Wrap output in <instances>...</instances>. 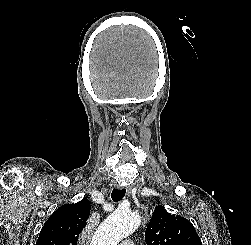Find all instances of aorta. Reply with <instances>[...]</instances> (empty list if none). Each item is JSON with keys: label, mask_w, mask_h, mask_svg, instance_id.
I'll use <instances>...</instances> for the list:
<instances>
[{"label": "aorta", "mask_w": 251, "mask_h": 245, "mask_svg": "<svg viewBox=\"0 0 251 245\" xmlns=\"http://www.w3.org/2000/svg\"><path fill=\"white\" fill-rule=\"evenodd\" d=\"M140 223L137 213L116 210L98 227L90 245H117L123 238L132 234Z\"/></svg>", "instance_id": "obj_1"}]
</instances>
